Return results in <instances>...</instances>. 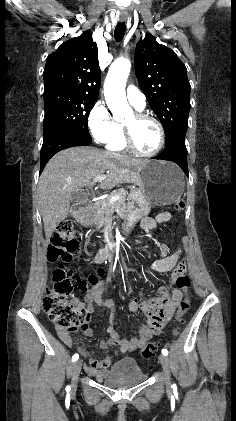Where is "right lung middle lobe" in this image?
Here are the masks:
<instances>
[{"instance_id":"right-lung-middle-lobe-1","label":"right lung middle lobe","mask_w":236,"mask_h":421,"mask_svg":"<svg viewBox=\"0 0 236 421\" xmlns=\"http://www.w3.org/2000/svg\"><path fill=\"white\" fill-rule=\"evenodd\" d=\"M44 138L68 131L91 139L88 116L97 98L63 90L44 91Z\"/></svg>"}]
</instances>
